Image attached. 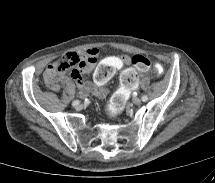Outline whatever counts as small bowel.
<instances>
[{
    "label": "small bowel",
    "instance_id": "c3829d8e",
    "mask_svg": "<svg viewBox=\"0 0 215 183\" xmlns=\"http://www.w3.org/2000/svg\"><path fill=\"white\" fill-rule=\"evenodd\" d=\"M99 55V49L91 47L81 52L68 53L61 59L54 61L44 72V80L47 87L51 90H58L59 81L68 82L70 78H73L82 96H86L89 92H93L97 97H104L107 94L105 84H107L114 74L122 71L124 64L130 62V57L127 55L109 56L107 59L101 61L99 67L95 68L88 82L84 81L82 75L94 69L98 62ZM60 60L77 61L78 65L72 68L68 75L66 72L58 70V63ZM132 89H136V87Z\"/></svg>",
    "mask_w": 215,
    "mask_h": 183
}]
</instances>
